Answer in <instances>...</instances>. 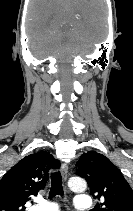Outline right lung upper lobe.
Segmentation results:
<instances>
[{
	"label": "right lung upper lobe",
	"mask_w": 133,
	"mask_h": 211,
	"mask_svg": "<svg viewBox=\"0 0 133 211\" xmlns=\"http://www.w3.org/2000/svg\"><path fill=\"white\" fill-rule=\"evenodd\" d=\"M59 161L45 151L24 157L0 180V211H24L31 195L45 188L48 172Z\"/></svg>",
	"instance_id": "obj_1"
}]
</instances>
